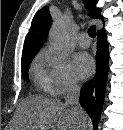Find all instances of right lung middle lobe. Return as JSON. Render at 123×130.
<instances>
[{"instance_id":"right-lung-middle-lobe-1","label":"right lung middle lobe","mask_w":123,"mask_h":130,"mask_svg":"<svg viewBox=\"0 0 123 130\" xmlns=\"http://www.w3.org/2000/svg\"><path fill=\"white\" fill-rule=\"evenodd\" d=\"M36 54H31V55H26V56H22V74L24 76H26V78L28 77V69L30 66V63L32 61V59L34 58Z\"/></svg>"}]
</instances>
